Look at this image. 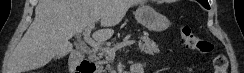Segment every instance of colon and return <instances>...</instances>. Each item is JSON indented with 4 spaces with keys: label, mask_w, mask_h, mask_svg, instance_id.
<instances>
[{
    "label": "colon",
    "mask_w": 244,
    "mask_h": 73,
    "mask_svg": "<svg viewBox=\"0 0 244 73\" xmlns=\"http://www.w3.org/2000/svg\"><path fill=\"white\" fill-rule=\"evenodd\" d=\"M179 36L182 43L191 50L201 54H210L214 51L211 42L197 37L188 25H181ZM214 73H227L228 61L223 53H216L212 58Z\"/></svg>",
    "instance_id": "5ec220e1"
}]
</instances>
